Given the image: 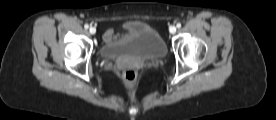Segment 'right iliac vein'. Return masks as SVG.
I'll return each mask as SVG.
<instances>
[{
	"mask_svg": "<svg viewBox=\"0 0 276 120\" xmlns=\"http://www.w3.org/2000/svg\"><path fill=\"white\" fill-rule=\"evenodd\" d=\"M89 32H90L91 34H95V33H96V29H95L94 27H90V28H89Z\"/></svg>",
	"mask_w": 276,
	"mask_h": 120,
	"instance_id": "63e3f726",
	"label": "right iliac vein"
}]
</instances>
